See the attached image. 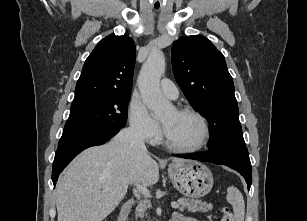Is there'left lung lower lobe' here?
Wrapping results in <instances>:
<instances>
[{"mask_svg": "<svg viewBox=\"0 0 307 221\" xmlns=\"http://www.w3.org/2000/svg\"><path fill=\"white\" fill-rule=\"evenodd\" d=\"M174 156L228 166L238 171L245 178L248 190L251 187L252 167L249 156L229 149H215L195 154Z\"/></svg>", "mask_w": 307, "mask_h": 221, "instance_id": "obj_1", "label": "left lung lower lobe"}]
</instances>
